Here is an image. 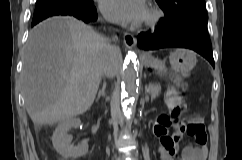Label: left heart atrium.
<instances>
[{"instance_id": "left-heart-atrium-1", "label": "left heart atrium", "mask_w": 242, "mask_h": 160, "mask_svg": "<svg viewBox=\"0 0 242 160\" xmlns=\"http://www.w3.org/2000/svg\"><path fill=\"white\" fill-rule=\"evenodd\" d=\"M100 9L108 20L120 24L140 23L147 12L145 0H101Z\"/></svg>"}]
</instances>
